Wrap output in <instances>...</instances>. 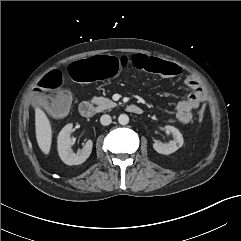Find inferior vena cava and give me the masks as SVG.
I'll return each instance as SVG.
<instances>
[{"instance_id": "1", "label": "inferior vena cava", "mask_w": 241, "mask_h": 241, "mask_svg": "<svg viewBox=\"0 0 241 241\" xmlns=\"http://www.w3.org/2000/svg\"><path fill=\"white\" fill-rule=\"evenodd\" d=\"M112 119H111V116L110 115H102L101 118H100V123L103 125V126H107L111 123Z\"/></svg>"}]
</instances>
